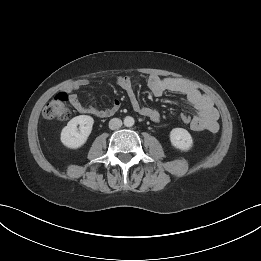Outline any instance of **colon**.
Listing matches in <instances>:
<instances>
[{"label":"colon","instance_id":"1","mask_svg":"<svg viewBox=\"0 0 261 261\" xmlns=\"http://www.w3.org/2000/svg\"><path fill=\"white\" fill-rule=\"evenodd\" d=\"M68 96L66 93H58L43 110V116L50 120H67L71 116V110L67 104ZM181 119L184 123H191L188 114H182Z\"/></svg>","mask_w":261,"mask_h":261}]
</instances>
